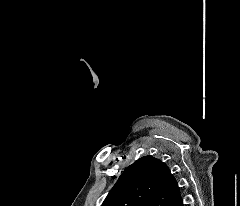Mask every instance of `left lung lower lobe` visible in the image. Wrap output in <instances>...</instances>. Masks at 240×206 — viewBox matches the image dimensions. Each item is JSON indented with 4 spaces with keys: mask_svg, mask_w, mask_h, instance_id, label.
Returning <instances> with one entry per match:
<instances>
[{
    "mask_svg": "<svg viewBox=\"0 0 240 206\" xmlns=\"http://www.w3.org/2000/svg\"><path fill=\"white\" fill-rule=\"evenodd\" d=\"M170 206H186L183 203L181 192L178 194V196L176 197V199L172 202V204Z\"/></svg>",
    "mask_w": 240,
    "mask_h": 206,
    "instance_id": "1",
    "label": "left lung lower lobe"
}]
</instances>
